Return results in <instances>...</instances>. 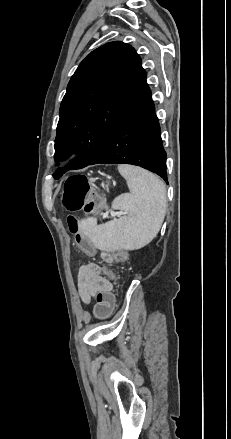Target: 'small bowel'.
I'll use <instances>...</instances> for the list:
<instances>
[{"instance_id":"obj_1","label":"small bowel","mask_w":231,"mask_h":439,"mask_svg":"<svg viewBox=\"0 0 231 439\" xmlns=\"http://www.w3.org/2000/svg\"><path fill=\"white\" fill-rule=\"evenodd\" d=\"M101 256L106 262H112L114 260L113 254L107 251H102ZM103 287L113 291L112 283L102 275L101 268L98 264L87 263L80 267L78 273V290L80 298L84 303L89 304L92 300H95V295L100 293Z\"/></svg>"}]
</instances>
